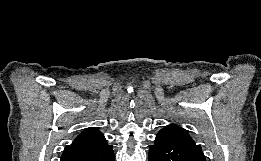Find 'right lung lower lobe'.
Segmentation results:
<instances>
[{
	"instance_id": "98d812e1",
	"label": "right lung lower lobe",
	"mask_w": 261,
	"mask_h": 161,
	"mask_svg": "<svg viewBox=\"0 0 261 161\" xmlns=\"http://www.w3.org/2000/svg\"><path fill=\"white\" fill-rule=\"evenodd\" d=\"M112 145L105 144L99 148L63 154L61 161H114Z\"/></svg>"
}]
</instances>
